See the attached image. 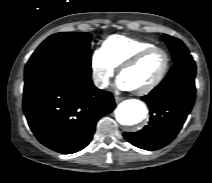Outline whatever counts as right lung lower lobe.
<instances>
[{"label": "right lung lower lobe", "mask_w": 212, "mask_h": 183, "mask_svg": "<svg viewBox=\"0 0 212 183\" xmlns=\"http://www.w3.org/2000/svg\"><path fill=\"white\" fill-rule=\"evenodd\" d=\"M23 95V110L35 137L63 154L85 148L97 121L116 106L110 92L94 86L91 66L81 63L26 65Z\"/></svg>", "instance_id": "98d812e1"}]
</instances>
